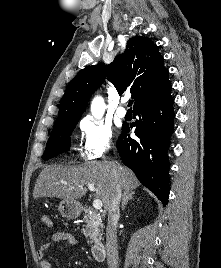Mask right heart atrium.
<instances>
[{"label": "right heart atrium", "mask_w": 221, "mask_h": 268, "mask_svg": "<svg viewBox=\"0 0 221 268\" xmlns=\"http://www.w3.org/2000/svg\"><path fill=\"white\" fill-rule=\"evenodd\" d=\"M79 126L83 135L82 156L87 160L102 158L112 147L111 127L92 117L83 118Z\"/></svg>", "instance_id": "right-heart-atrium-1"}]
</instances>
